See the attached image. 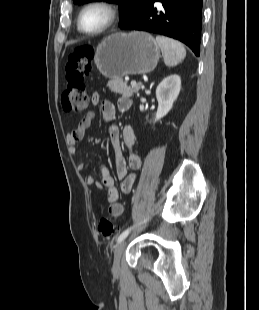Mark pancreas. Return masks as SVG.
<instances>
[{
    "mask_svg": "<svg viewBox=\"0 0 259 310\" xmlns=\"http://www.w3.org/2000/svg\"><path fill=\"white\" fill-rule=\"evenodd\" d=\"M107 87L114 93L120 94L123 97H132L140 90V85L130 87L123 79H113L107 83Z\"/></svg>",
    "mask_w": 259,
    "mask_h": 310,
    "instance_id": "cf45deb5",
    "label": "pancreas"
}]
</instances>
